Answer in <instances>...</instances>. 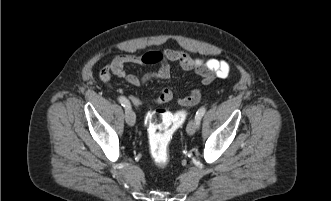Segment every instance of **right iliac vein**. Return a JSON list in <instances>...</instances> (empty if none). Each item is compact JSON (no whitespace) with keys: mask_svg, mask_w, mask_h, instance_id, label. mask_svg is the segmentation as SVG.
<instances>
[{"mask_svg":"<svg viewBox=\"0 0 331 201\" xmlns=\"http://www.w3.org/2000/svg\"><path fill=\"white\" fill-rule=\"evenodd\" d=\"M125 120L128 125L133 126L136 121L135 113L131 109H127L125 112Z\"/></svg>","mask_w":331,"mask_h":201,"instance_id":"right-iliac-vein-1","label":"right iliac vein"}]
</instances>
